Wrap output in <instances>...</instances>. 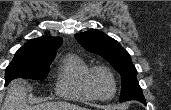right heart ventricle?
Listing matches in <instances>:
<instances>
[{
  "label": "right heart ventricle",
  "mask_w": 171,
  "mask_h": 110,
  "mask_svg": "<svg viewBox=\"0 0 171 110\" xmlns=\"http://www.w3.org/2000/svg\"><path fill=\"white\" fill-rule=\"evenodd\" d=\"M89 69V64L80 56L76 54L66 55L57 74V94L76 101L94 100L86 86V75Z\"/></svg>",
  "instance_id": "e07e8e85"
}]
</instances>
